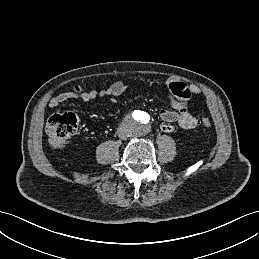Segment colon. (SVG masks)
I'll use <instances>...</instances> for the list:
<instances>
[{
	"instance_id": "1",
	"label": "colon",
	"mask_w": 259,
	"mask_h": 259,
	"mask_svg": "<svg viewBox=\"0 0 259 259\" xmlns=\"http://www.w3.org/2000/svg\"><path fill=\"white\" fill-rule=\"evenodd\" d=\"M204 130L211 127L209 118L204 117L201 120ZM78 127V119L73 113L54 115L49 118L46 124V133L50 145L55 149L65 147L70 138L75 134Z\"/></svg>"
}]
</instances>
